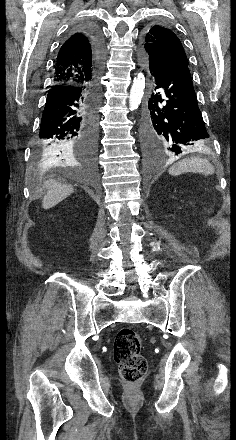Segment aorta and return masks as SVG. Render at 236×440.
Instances as JSON below:
<instances>
[{"mask_svg": "<svg viewBox=\"0 0 236 440\" xmlns=\"http://www.w3.org/2000/svg\"><path fill=\"white\" fill-rule=\"evenodd\" d=\"M145 77L142 73H138L133 79V83L129 94V106L133 111L139 107L141 104L144 90H145Z\"/></svg>", "mask_w": 236, "mask_h": 440, "instance_id": "obj_1", "label": "aorta"}]
</instances>
